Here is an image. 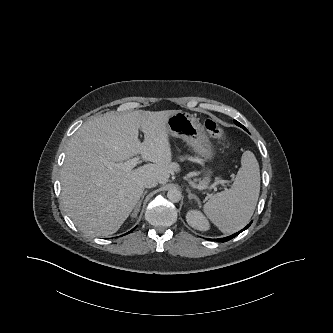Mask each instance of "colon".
<instances>
[{
  "label": "colon",
  "instance_id": "1",
  "mask_svg": "<svg viewBox=\"0 0 333 333\" xmlns=\"http://www.w3.org/2000/svg\"><path fill=\"white\" fill-rule=\"evenodd\" d=\"M205 127L207 131L216 138H221L222 137V130L221 128L217 125V123L212 120V119H207L205 121ZM224 146H228V141L223 142Z\"/></svg>",
  "mask_w": 333,
  "mask_h": 333
}]
</instances>
